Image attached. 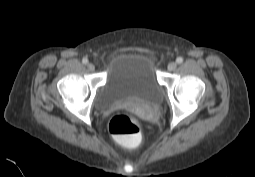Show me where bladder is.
<instances>
[{"label": "bladder", "instance_id": "obj_1", "mask_svg": "<svg viewBox=\"0 0 255 177\" xmlns=\"http://www.w3.org/2000/svg\"><path fill=\"white\" fill-rule=\"evenodd\" d=\"M162 98L153 55L148 51H127L114 57L97 92L95 106L104 111L128 101L158 105Z\"/></svg>", "mask_w": 255, "mask_h": 177}]
</instances>
